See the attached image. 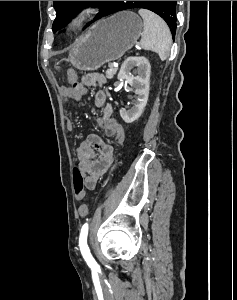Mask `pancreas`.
Here are the masks:
<instances>
[{
	"label": "pancreas",
	"instance_id": "obj_1",
	"mask_svg": "<svg viewBox=\"0 0 237 300\" xmlns=\"http://www.w3.org/2000/svg\"><path fill=\"white\" fill-rule=\"evenodd\" d=\"M117 67H113L112 69H108L106 71V77L107 79H113L114 75H116Z\"/></svg>",
	"mask_w": 237,
	"mask_h": 300
}]
</instances>
